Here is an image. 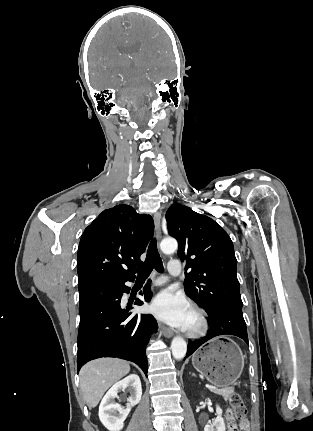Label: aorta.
<instances>
[{
	"label": "aorta",
	"mask_w": 313,
	"mask_h": 431,
	"mask_svg": "<svg viewBox=\"0 0 313 431\" xmlns=\"http://www.w3.org/2000/svg\"><path fill=\"white\" fill-rule=\"evenodd\" d=\"M160 248L164 254H172L177 250L178 244L175 239L166 238L161 241ZM171 350L175 359L181 360L184 358L187 352V344L185 340L179 336L174 337L171 343Z\"/></svg>",
	"instance_id": "762f6f07"
}]
</instances>
